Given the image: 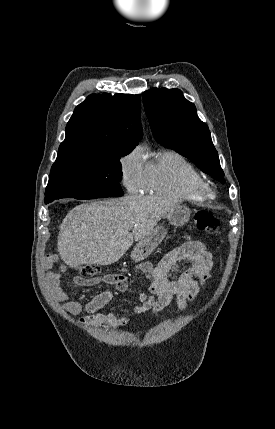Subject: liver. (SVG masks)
<instances>
[{"mask_svg":"<svg viewBox=\"0 0 275 429\" xmlns=\"http://www.w3.org/2000/svg\"><path fill=\"white\" fill-rule=\"evenodd\" d=\"M177 203L155 196H125L80 204L65 216L58 253L69 267L111 265L148 236ZM132 230V232H130Z\"/></svg>","mask_w":275,"mask_h":429,"instance_id":"6515ba94","label":"liver"}]
</instances>
